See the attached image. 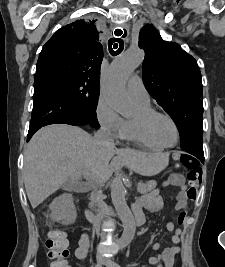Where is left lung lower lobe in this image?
<instances>
[{"instance_id":"1","label":"left lung lower lobe","mask_w":225,"mask_h":267,"mask_svg":"<svg viewBox=\"0 0 225 267\" xmlns=\"http://www.w3.org/2000/svg\"><path fill=\"white\" fill-rule=\"evenodd\" d=\"M190 153L191 155L195 156L200 162L204 163V153L203 150H188L186 151Z\"/></svg>"}]
</instances>
